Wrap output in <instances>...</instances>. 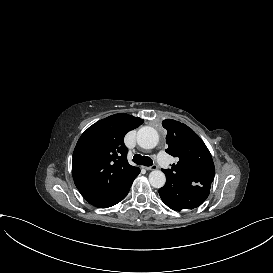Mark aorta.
Returning a JSON list of instances; mask_svg holds the SVG:
<instances>
[{
    "mask_svg": "<svg viewBox=\"0 0 273 273\" xmlns=\"http://www.w3.org/2000/svg\"><path fill=\"white\" fill-rule=\"evenodd\" d=\"M159 142L157 131L149 126H144L137 132V143L144 149H153ZM149 182L154 188H161L165 185V174L160 170H154L149 174Z\"/></svg>",
    "mask_w": 273,
    "mask_h": 273,
    "instance_id": "762f6f07",
    "label": "aorta"
}]
</instances>
